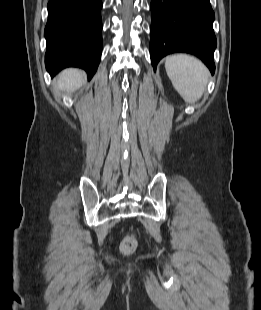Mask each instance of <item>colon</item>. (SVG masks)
<instances>
[{"label":"colon","instance_id":"colon-1","mask_svg":"<svg viewBox=\"0 0 261 310\" xmlns=\"http://www.w3.org/2000/svg\"><path fill=\"white\" fill-rule=\"evenodd\" d=\"M136 248V239L134 236H127L121 243V250L125 254L132 253Z\"/></svg>","mask_w":261,"mask_h":310}]
</instances>
